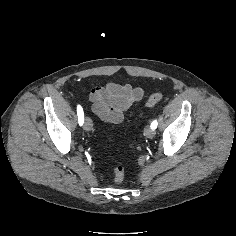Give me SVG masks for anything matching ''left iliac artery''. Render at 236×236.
<instances>
[{
	"label": "left iliac artery",
	"instance_id": "1",
	"mask_svg": "<svg viewBox=\"0 0 236 236\" xmlns=\"http://www.w3.org/2000/svg\"><path fill=\"white\" fill-rule=\"evenodd\" d=\"M157 125H158L157 120H154V121L151 123V128H152V129H156V128H157Z\"/></svg>",
	"mask_w": 236,
	"mask_h": 236
}]
</instances>
